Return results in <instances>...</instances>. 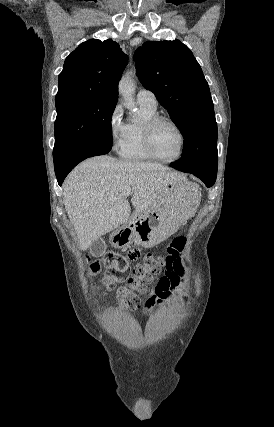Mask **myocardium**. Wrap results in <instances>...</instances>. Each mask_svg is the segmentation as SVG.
Segmentation results:
<instances>
[{
  "label": "myocardium",
  "mask_w": 274,
  "mask_h": 427,
  "mask_svg": "<svg viewBox=\"0 0 274 427\" xmlns=\"http://www.w3.org/2000/svg\"><path fill=\"white\" fill-rule=\"evenodd\" d=\"M161 123H167V124L171 125L178 132V134H179V137H180V152H179L178 156L176 158H174V159H165V158L161 157L156 152V150L154 149V146H153V134H154V130ZM142 138H143L144 149L147 152V154L153 160H156V161H159V162H163V163H175V162H178L179 160H181L182 157L184 156L185 148H186V138H185L184 132L182 131V129L180 128V126L174 120H172L171 118L157 115V116L149 119L144 124Z\"/></svg>",
  "instance_id": "obj_1"
}]
</instances>
